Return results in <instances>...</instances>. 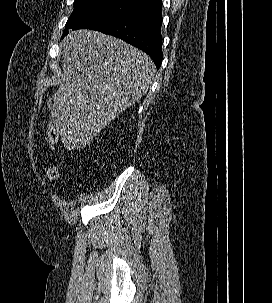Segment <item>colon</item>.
<instances>
[{
	"label": "colon",
	"mask_w": 272,
	"mask_h": 303,
	"mask_svg": "<svg viewBox=\"0 0 272 303\" xmlns=\"http://www.w3.org/2000/svg\"><path fill=\"white\" fill-rule=\"evenodd\" d=\"M47 137L51 147L55 146L59 140V130L55 123H50L47 129ZM45 177L54 181L59 177L58 166L54 162H50L45 168Z\"/></svg>",
	"instance_id": "obj_1"
}]
</instances>
